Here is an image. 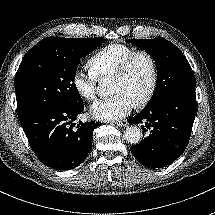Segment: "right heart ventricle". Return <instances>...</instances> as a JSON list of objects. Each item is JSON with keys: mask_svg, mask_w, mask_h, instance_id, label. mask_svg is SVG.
<instances>
[{"mask_svg": "<svg viewBox=\"0 0 215 215\" xmlns=\"http://www.w3.org/2000/svg\"><path fill=\"white\" fill-rule=\"evenodd\" d=\"M135 48L126 43H111L96 51L86 62L91 75L96 78L111 76L119 63Z\"/></svg>", "mask_w": 215, "mask_h": 215, "instance_id": "e07e8e85", "label": "right heart ventricle"}]
</instances>
